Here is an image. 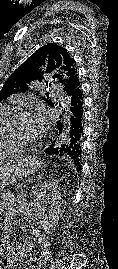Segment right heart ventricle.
Wrapping results in <instances>:
<instances>
[{
  "mask_svg": "<svg viewBox=\"0 0 118 269\" xmlns=\"http://www.w3.org/2000/svg\"><path fill=\"white\" fill-rule=\"evenodd\" d=\"M10 114L11 111L7 107L0 105V157L14 155L21 151L20 147L8 143L3 137V124Z\"/></svg>",
  "mask_w": 118,
  "mask_h": 269,
  "instance_id": "right-heart-ventricle-1",
  "label": "right heart ventricle"
}]
</instances>
